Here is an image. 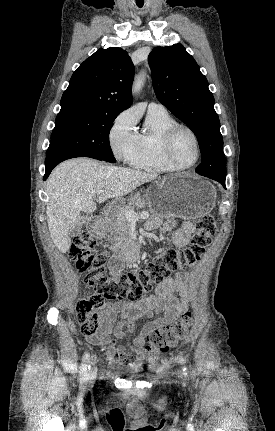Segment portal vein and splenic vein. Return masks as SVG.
I'll list each match as a JSON object with an SVG mask.
<instances>
[{
	"mask_svg": "<svg viewBox=\"0 0 275 431\" xmlns=\"http://www.w3.org/2000/svg\"><path fill=\"white\" fill-rule=\"evenodd\" d=\"M96 193L100 195L103 193V190H98ZM125 217L128 221H136L139 218L147 219L149 217V212L143 211L141 213H136L134 210H127L125 212Z\"/></svg>",
	"mask_w": 275,
	"mask_h": 431,
	"instance_id": "1",
	"label": "portal vein and splenic vein"
}]
</instances>
